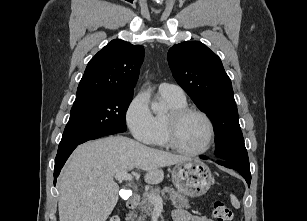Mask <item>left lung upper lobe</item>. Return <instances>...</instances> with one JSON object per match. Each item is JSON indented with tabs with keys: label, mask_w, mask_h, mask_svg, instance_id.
<instances>
[{
	"label": "left lung upper lobe",
	"mask_w": 307,
	"mask_h": 221,
	"mask_svg": "<svg viewBox=\"0 0 307 221\" xmlns=\"http://www.w3.org/2000/svg\"><path fill=\"white\" fill-rule=\"evenodd\" d=\"M168 63L173 77L215 126V155L249 166L232 84L220 58L199 41L172 46Z\"/></svg>",
	"instance_id": "5c2ea615"
}]
</instances>
